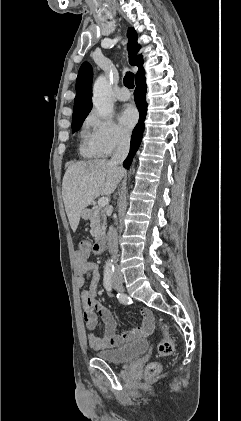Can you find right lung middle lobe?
<instances>
[{
    "label": "right lung middle lobe",
    "mask_w": 241,
    "mask_h": 421,
    "mask_svg": "<svg viewBox=\"0 0 241 421\" xmlns=\"http://www.w3.org/2000/svg\"><path fill=\"white\" fill-rule=\"evenodd\" d=\"M86 116L72 118V132H76L80 129Z\"/></svg>",
    "instance_id": "dd1d6c3e"
}]
</instances>
